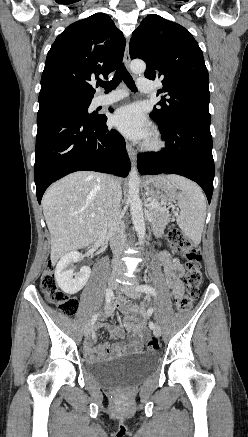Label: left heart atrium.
<instances>
[{
	"mask_svg": "<svg viewBox=\"0 0 248 437\" xmlns=\"http://www.w3.org/2000/svg\"><path fill=\"white\" fill-rule=\"evenodd\" d=\"M112 124L124 135L134 139H146L150 126L138 105L131 104L119 108L112 117Z\"/></svg>",
	"mask_w": 248,
	"mask_h": 437,
	"instance_id": "39dd6f15",
	"label": "left heart atrium"
}]
</instances>
